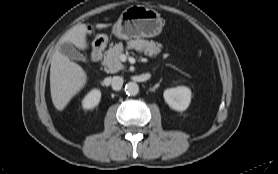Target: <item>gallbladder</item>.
I'll use <instances>...</instances> for the list:
<instances>
[{
	"mask_svg": "<svg viewBox=\"0 0 278 174\" xmlns=\"http://www.w3.org/2000/svg\"><path fill=\"white\" fill-rule=\"evenodd\" d=\"M59 51L71 60L81 61L88 63V59L78 52L70 43L64 42L58 47Z\"/></svg>",
	"mask_w": 278,
	"mask_h": 174,
	"instance_id": "gallbladder-1",
	"label": "gallbladder"
}]
</instances>
